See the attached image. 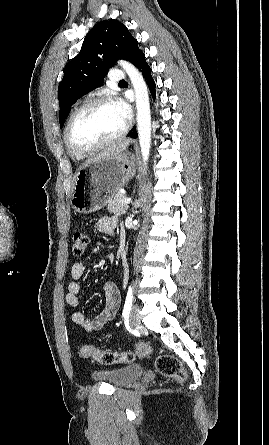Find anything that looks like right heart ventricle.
<instances>
[{"label":"right heart ventricle","instance_id":"right-heart-ventricle-1","mask_svg":"<svg viewBox=\"0 0 269 445\" xmlns=\"http://www.w3.org/2000/svg\"><path fill=\"white\" fill-rule=\"evenodd\" d=\"M77 160H81L83 157H76L74 156Z\"/></svg>","mask_w":269,"mask_h":445}]
</instances>
